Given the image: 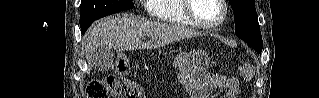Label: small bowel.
<instances>
[{"mask_svg": "<svg viewBox=\"0 0 319 98\" xmlns=\"http://www.w3.org/2000/svg\"><path fill=\"white\" fill-rule=\"evenodd\" d=\"M210 88H228L232 92L231 98H235L239 88L234 79H229L220 75H212L208 77Z\"/></svg>", "mask_w": 319, "mask_h": 98, "instance_id": "c3829d8e", "label": "small bowel"}]
</instances>
